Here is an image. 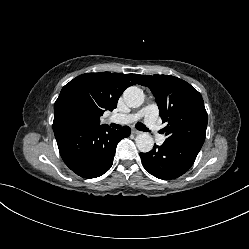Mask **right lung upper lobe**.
<instances>
[{
    "label": "right lung upper lobe",
    "instance_id": "1",
    "mask_svg": "<svg viewBox=\"0 0 249 249\" xmlns=\"http://www.w3.org/2000/svg\"><path fill=\"white\" fill-rule=\"evenodd\" d=\"M145 76L139 74H118L110 72L86 73L77 76L66 84L54 103L53 126L59 120L60 108L68 102H76L84 109V117L79 126L95 128L103 126L100 117L104 111H112L124 90L136 83L140 84Z\"/></svg>",
    "mask_w": 249,
    "mask_h": 249
}]
</instances>
